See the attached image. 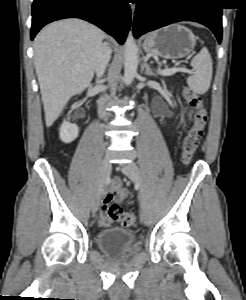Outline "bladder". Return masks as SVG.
<instances>
[{
  "instance_id": "bladder-1",
  "label": "bladder",
  "mask_w": 246,
  "mask_h": 300,
  "mask_svg": "<svg viewBox=\"0 0 246 300\" xmlns=\"http://www.w3.org/2000/svg\"><path fill=\"white\" fill-rule=\"evenodd\" d=\"M96 243L101 251L115 260H124L138 250L135 234L121 227H110L99 231L96 235Z\"/></svg>"
}]
</instances>
